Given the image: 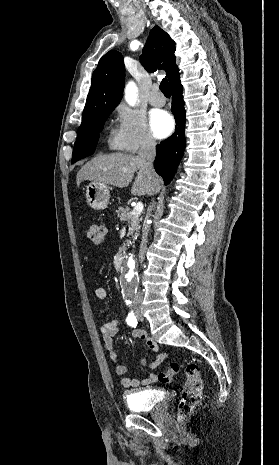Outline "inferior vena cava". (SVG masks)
I'll return each instance as SVG.
<instances>
[{
	"instance_id": "602c4592",
	"label": "inferior vena cava",
	"mask_w": 279,
	"mask_h": 465,
	"mask_svg": "<svg viewBox=\"0 0 279 465\" xmlns=\"http://www.w3.org/2000/svg\"><path fill=\"white\" fill-rule=\"evenodd\" d=\"M155 148H156V142L155 140L150 137L146 136L144 140L141 143V147L138 152V157L144 162L145 167L151 172L154 173V168H153V162L155 159ZM154 192H150L149 195H153ZM153 208V203L152 205L149 206L148 209V214L151 213ZM150 231V226L149 224L145 223L143 225V234H142V241L140 245V251H139V261L140 264L143 263L145 259V251L147 248V242H148V234ZM142 292L141 289L139 288L138 291L135 292L134 295V300L136 302H141L142 301Z\"/></svg>"
}]
</instances>
